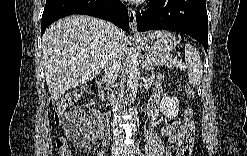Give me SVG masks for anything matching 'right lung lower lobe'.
Returning a JSON list of instances; mask_svg holds the SVG:
<instances>
[{
    "instance_id": "1",
    "label": "right lung lower lobe",
    "mask_w": 247,
    "mask_h": 156,
    "mask_svg": "<svg viewBox=\"0 0 247 156\" xmlns=\"http://www.w3.org/2000/svg\"><path fill=\"white\" fill-rule=\"evenodd\" d=\"M72 14H84L108 20L129 30L127 7L119 0H46L42 15L41 34L54 21Z\"/></svg>"
}]
</instances>
